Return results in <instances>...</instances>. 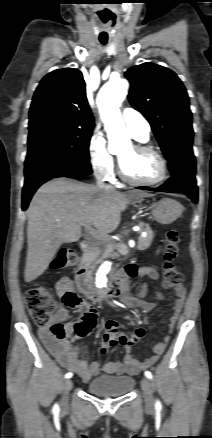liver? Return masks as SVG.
<instances>
[{
	"label": "liver",
	"mask_w": 212,
	"mask_h": 438,
	"mask_svg": "<svg viewBox=\"0 0 212 438\" xmlns=\"http://www.w3.org/2000/svg\"><path fill=\"white\" fill-rule=\"evenodd\" d=\"M131 193L140 198L151 196L138 190ZM127 204L126 195L115 189L103 190L64 177L43 184L27 211L25 281L44 273L62 243L78 241L83 226L94 225L100 234L115 230Z\"/></svg>",
	"instance_id": "1"
}]
</instances>
